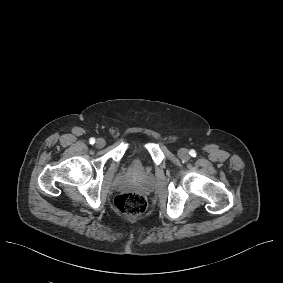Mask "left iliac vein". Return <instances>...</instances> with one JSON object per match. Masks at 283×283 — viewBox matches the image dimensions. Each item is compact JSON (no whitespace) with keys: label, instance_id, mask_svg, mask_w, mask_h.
<instances>
[{"label":"left iliac vein","instance_id":"1","mask_svg":"<svg viewBox=\"0 0 283 283\" xmlns=\"http://www.w3.org/2000/svg\"><path fill=\"white\" fill-rule=\"evenodd\" d=\"M178 156L180 159L182 160H188L190 158L189 156V152L187 149L185 148H181L179 151H178Z\"/></svg>","mask_w":283,"mask_h":283}]
</instances>
